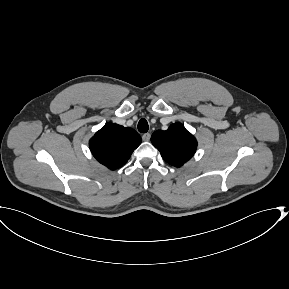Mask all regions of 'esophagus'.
<instances>
[{
    "instance_id": "obj_1",
    "label": "esophagus",
    "mask_w": 289,
    "mask_h": 289,
    "mask_svg": "<svg viewBox=\"0 0 289 289\" xmlns=\"http://www.w3.org/2000/svg\"><path fill=\"white\" fill-rule=\"evenodd\" d=\"M150 137H151L150 133H145L142 135L143 141H149Z\"/></svg>"
}]
</instances>
